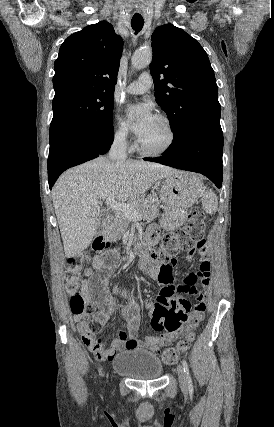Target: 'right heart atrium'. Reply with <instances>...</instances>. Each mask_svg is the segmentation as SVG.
Wrapping results in <instances>:
<instances>
[{"label": "right heart atrium", "mask_w": 274, "mask_h": 427, "mask_svg": "<svg viewBox=\"0 0 274 427\" xmlns=\"http://www.w3.org/2000/svg\"><path fill=\"white\" fill-rule=\"evenodd\" d=\"M113 140L118 146L122 148L126 149L130 146L129 132L125 125L120 121L116 122L113 132Z\"/></svg>", "instance_id": "obj_1"}]
</instances>
